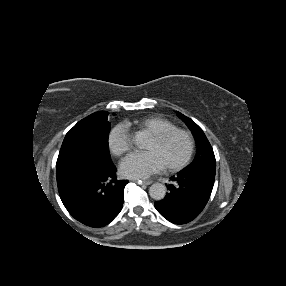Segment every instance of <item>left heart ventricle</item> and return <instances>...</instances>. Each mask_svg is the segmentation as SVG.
<instances>
[{
    "label": "left heart ventricle",
    "instance_id": "obj_1",
    "mask_svg": "<svg viewBox=\"0 0 286 286\" xmlns=\"http://www.w3.org/2000/svg\"><path fill=\"white\" fill-rule=\"evenodd\" d=\"M144 149L153 152L161 165L167 167L180 162L186 156L189 139L184 133L174 134L162 142H156L150 137Z\"/></svg>",
    "mask_w": 286,
    "mask_h": 286
}]
</instances>
